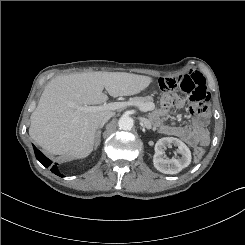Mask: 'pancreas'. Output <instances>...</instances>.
Instances as JSON below:
<instances>
[{
  "instance_id": "cf45deb5",
  "label": "pancreas",
  "mask_w": 245,
  "mask_h": 245,
  "mask_svg": "<svg viewBox=\"0 0 245 245\" xmlns=\"http://www.w3.org/2000/svg\"><path fill=\"white\" fill-rule=\"evenodd\" d=\"M153 101V98L150 97V96H147V97H134V98H130L129 99V103L131 105H135V106H143V105H146L147 103H150Z\"/></svg>"
}]
</instances>
